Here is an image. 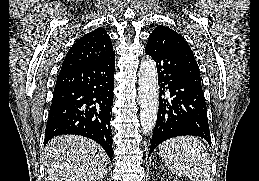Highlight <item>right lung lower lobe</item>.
Returning a JSON list of instances; mask_svg holds the SVG:
<instances>
[{
	"label": "right lung lower lobe",
	"mask_w": 259,
	"mask_h": 181,
	"mask_svg": "<svg viewBox=\"0 0 259 181\" xmlns=\"http://www.w3.org/2000/svg\"><path fill=\"white\" fill-rule=\"evenodd\" d=\"M115 58L61 71L57 77L44 144L62 134L88 137L112 160V117Z\"/></svg>",
	"instance_id": "1"
}]
</instances>
